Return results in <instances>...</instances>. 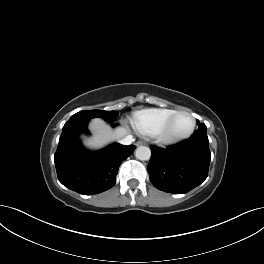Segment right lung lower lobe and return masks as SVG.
<instances>
[{"instance_id": "right-lung-lower-lobe-1", "label": "right lung lower lobe", "mask_w": 264, "mask_h": 264, "mask_svg": "<svg viewBox=\"0 0 264 264\" xmlns=\"http://www.w3.org/2000/svg\"><path fill=\"white\" fill-rule=\"evenodd\" d=\"M90 119L71 117L64 125L54 161L59 181L67 188L83 195L97 194L116 183L120 164L135 150L134 145L112 144L91 152L79 139L81 133H89ZM112 126L116 124L110 122Z\"/></svg>"}]
</instances>
